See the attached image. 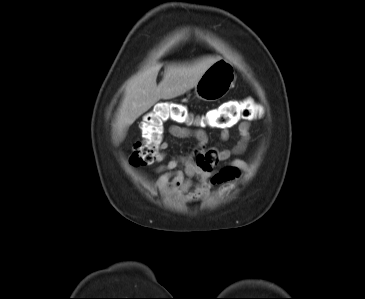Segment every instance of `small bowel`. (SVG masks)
I'll use <instances>...</instances> for the list:
<instances>
[{
	"instance_id": "obj_1",
	"label": "small bowel",
	"mask_w": 365,
	"mask_h": 299,
	"mask_svg": "<svg viewBox=\"0 0 365 299\" xmlns=\"http://www.w3.org/2000/svg\"><path fill=\"white\" fill-rule=\"evenodd\" d=\"M250 129V120L241 121L238 124L239 142L232 148H218L209 145V138L203 130L171 125L168 129L170 136L179 139L192 138L196 141V149L190 156L173 157L158 166L156 171L160 176L156 187L171 198L191 202L207 196L211 185L236 179L240 171L247 169L243 160H233L219 170H215V166L245 151L250 140ZM229 137L228 127L221 128L220 141L225 142ZM167 147L168 143L164 141L161 149L165 150ZM165 158V153H159L156 162H162Z\"/></svg>"
}]
</instances>
